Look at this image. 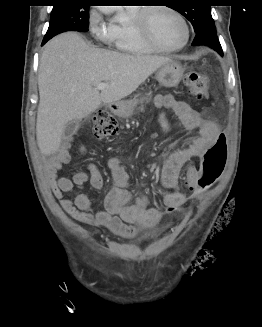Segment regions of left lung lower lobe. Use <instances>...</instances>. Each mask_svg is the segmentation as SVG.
Returning <instances> with one entry per match:
<instances>
[{
	"mask_svg": "<svg viewBox=\"0 0 262 327\" xmlns=\"http://www.w3.org/2000/svg\"><path fill=\"white\" fill-rule=\"evenodd\" d=\"M196 45H207L212 49L216 50L220 55L223 56V50L217 38L216 29L214 23L204 27L198 33H196L195 39L192 43Z\"/></svg>",
	"mask_w": 262,
	"mask_h": 327,
	"instance_id": "obj_1",
	"label": "left lung lower lobe"
}]
</instances>
